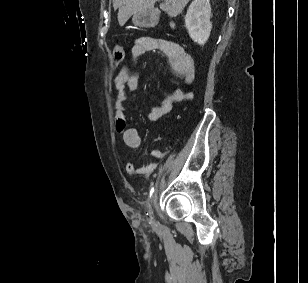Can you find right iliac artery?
<instances>
[{"mask_svg":"<svg viewBox=\"0 0 308 283\" xmlns=\"http://www.w3.org/2000/svg\"><path fill=\"white\" fill-rule=\"evenodd\" d=\"M152 185H153V183H152ZM153 192H154V186H152V188L149 192V199L151 198ZM148 207L150 208V200L148 201Z\"/></svg>","mask_w":308,"mask_h":283,"instance_id":"82829eb1","label":"right iliac artery"}]
</instances>
